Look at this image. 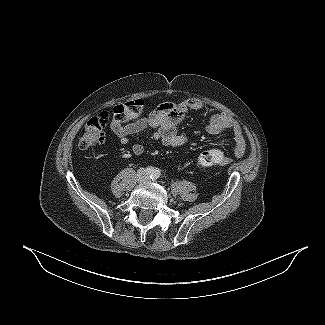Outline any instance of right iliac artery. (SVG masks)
Instances as JSON below:
<instances>
[{
	"mask_svg": "<svg viewBox=\"0 0 325 325\" xmlns=\"http://www.w3.org/2000/svg\"><path fill=\"white\" fill-rule=\"evenodd\" d=\"M146 172L150 175V177L155 173V169L153 167H148Z\"/></svg>",
	"mask_w": 325,
	"mask_h": 325,
	"instance_id": "1",
	"label": "right iliac artery"
}]
</instances>
